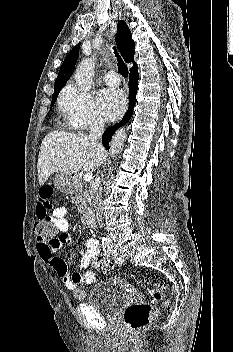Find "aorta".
<instances>
[{"label":"aorta","mask_w":233,"mask_h":352,"mask_svg":"<svg viewBox=\"0 0 233 352\" xmlns=\"http://www.w3.org/2000/svg\"><path fill=\"white\" fill-rule=\"evenodd\" d=\"M94 67V58L83 59L77 66L75 71V81L80 90L88 91L92 87ZM126 136V130L123 128L115 132L109 145L112 157H115L120 152ZM103 241H105V239H103Z\"/></svg>","instance_id":"obj_1"}]
</instances>
